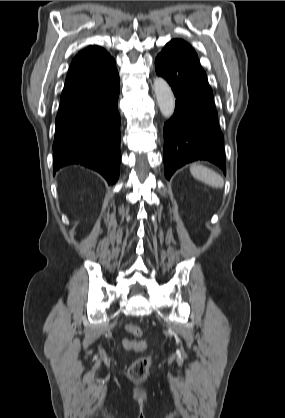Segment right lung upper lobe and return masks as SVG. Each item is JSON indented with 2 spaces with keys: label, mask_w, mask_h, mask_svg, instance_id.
Instances as JSON below:
<instances>
[{
  "label": "right lung upper lobe",
  "mask_w": 285,
  "mask_h": 418,
  "mask_svg": "<svg viewBox=\"0 0 285 418\" xmlns=\"http://www.w3.org/2000/svg\"><path fill=\"white\" fill-rule=\"evenodd\" d=\"M115 70V60L105 49L88 46L73 58L60 100L97 84Z\"/></svg>",
  "instance_id": "cb5924a9"
}]
</instances>
